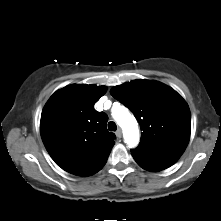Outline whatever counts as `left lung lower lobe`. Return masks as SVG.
<instances>
[{
    "instance_id": "1",
    "label": "left lung lower lobe",
    "mask_w": 221,
    "mask_h": 221,
    "mask_svg": "<svg viewBox=\"0 0 221 221\" xmlns=\"http://www.w3.org/2000/svg\"><path fill=\"white\" fill-rule=\"evenodd\" d=\"M132 156L139 166L145 170L153 172L164 170L172 166L178 160L177 158L151 159L135 154H132Z\"/></svg>"
}]
</instances>
